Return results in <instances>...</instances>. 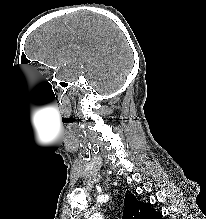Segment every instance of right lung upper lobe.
<instances>
[{
    "label": "right lung upper lobe",
    "mask_w": 206,
    "mask_h": 219,
    "mask_svg": "<svg viewBox=\"0 0 206 219\" xmlns=\"http://www.w3.org/2000/svg\"><path fill=\"white\" fill-rule=\"evenodd\" d=\"M122 219H161V213L151 208L150 203L138 201L133 194H126Z\"/></svg>",
    "instance_id": "right-lung-upper-lobe-1"
}]
</instances>
